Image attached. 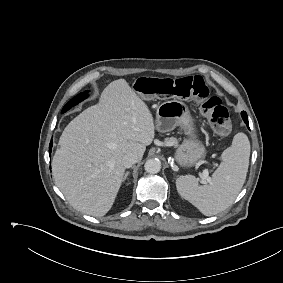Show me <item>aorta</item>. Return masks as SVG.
Returning <instances> with one entry per match:
<instances>
[{"mask_svg":"<svg viewBox=\"0 0 283 283\" xmlns=\"http://www.w3.org/2000/svg\"><path fill=\"white\" fill-rule=\"evenodd\" d=\"M144 167L147 173L156 174L161 169V163L156 159H149L146 161Z\"/></svg>","mask_w":283,"mask_h":283,"instance_id":"obj_1","label":"aorta"}]
</instances>
